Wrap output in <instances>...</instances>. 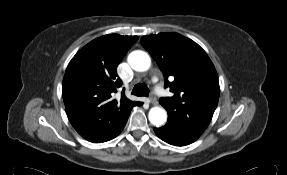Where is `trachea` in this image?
I'll return each mask as SVG.
<instances>
[{
    "label": "trachea",
    "mask_w": 287,
    "mask_h": 175,
    "mask_svg": "<svg viewBox=\"0 0 287 175\" xmlns=\"http://www.w3.org/2000/svg\"><path fill=\"white\" fill-rule=\"evenodd\" d=\"M132 94L138 97H147L149 95V89L144 83H137L132 90Z\"/></svg>",
    "instance_id": "1"
}]
</instances>
